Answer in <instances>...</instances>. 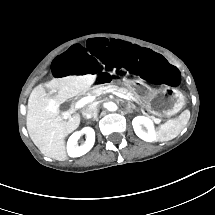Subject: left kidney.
I'll return each instance as SVG.
<instances>
[{
    "mask_svg": "<svg viewBox=\"0 0 215 215\" xmlns=\"http://www.w3.org/2000/svg\"><path fill=\"white\" fill-rule=\"evenodd\" d=\"M132 125L136 135L142 140L146 142H153L156 140L154 125L149 118L144 116H137L132 120ZM142 126L147 129V132L142 129ZM140 132H142L144 136H141Z\"/></svg>",
    "mask_w": 215,
    "mask_h": 215,
    "instance_id": "obj_1",
    "label": "left kidney"
}]
</instances>
